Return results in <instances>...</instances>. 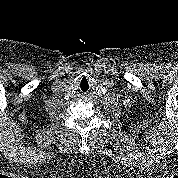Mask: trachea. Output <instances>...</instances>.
I'll return each mask as SVG.
<instances>
[{"instance_id": "3493384b", "label": "trachea", "mask_w": 178, "mask_h": 178, "mask_svg": "<svg viewBox=\"0 0 178 178\" xmlns=\"http://www.w3.org/2000/svg\"><path fill=\"white\" fill-rule=\"evenodd\" d=\"M78 88L81 93H86L89 91L90 85L86 77H83L78 82Z\"/></svg>"}]
</instances>
